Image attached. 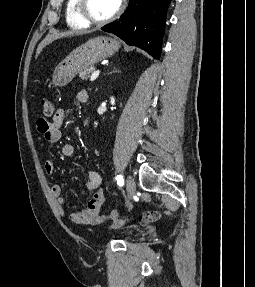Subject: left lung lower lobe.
<instances>
[{"instance_id": "obj_1", "label": "left lung lower lobe", "mask_w": 255, "mask_h": 287, "mask_svg": "<svg viewBox=\"0 0 255 287\" xmlns=\"http://www.w3.org/2000/svg\"><path fill=\"white\" fill-rule=\"evenodd\" d=\"M172 0H130L119 20L102 28L128 45L137 46L155 59L160 58L167 9Z\"/></svg>"}]
</instances>
